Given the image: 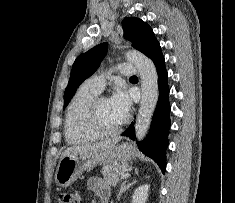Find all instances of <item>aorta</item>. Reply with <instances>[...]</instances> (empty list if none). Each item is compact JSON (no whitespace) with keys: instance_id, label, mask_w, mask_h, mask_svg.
Segmentation results:
<instances>
[{"instance_id":"obj_1","label":"aorta","mask_w":235,"mask_h":203,"mask_svg":"<svg viewBox=\"0 0 235 203\" xmlns=\"http://www.w3.org/2000/svg\"><path fill=\"white\" fill-rule=\"evenodd\" d=\"M126 58L138 70L141 78V102L135 123V134L142 140L151 123V119L158 101V75L151 59L138 51H129Z\"/></svg>"}]
</instances>
